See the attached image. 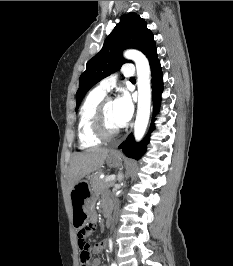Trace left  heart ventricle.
I'll list each match as a JSON object with an SVG mask.
<instances>
[{"mask_svg":"<svg viewBox=\"0 0 233 266\" xmlns=\"http://www.w3.org/2000/svg\"><path fill=\"white\" fill-rule=\"evenodd\" d=\"M104 118L108 130L113 131L119 128L115 119V105L113 101L107 104Z\"/></svg>","mask_w":233,"mask_h":266,"instance_id":"b2bd125f","label":"left heart ventricle"}]
</instances>
